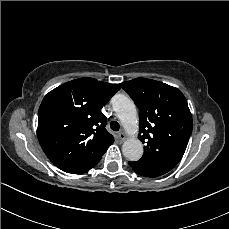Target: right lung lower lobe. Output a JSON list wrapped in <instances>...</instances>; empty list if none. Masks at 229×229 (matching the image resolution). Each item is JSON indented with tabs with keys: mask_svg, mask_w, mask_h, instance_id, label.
I'll return each mask as SVG.
<instances>
[{
	"mask_svg": "<svg viewBox=\"0 0 229 229\" xmlns=\"http://www.w3.org/2000/svg\"><path fill=\"white\" fill-rule=\"evenodd\" d=\"M98 162H99V161H97L92 167H94ZM92 167H91V168H92ZM91 168H90V169H91ZM90 169H89V170H90Z\"/></svg>",
	"mask_w": 229,
	"mask_h": 229,
	"instance_id": "1",
	"label": "right lung lower lobe"
}]
</instances>
